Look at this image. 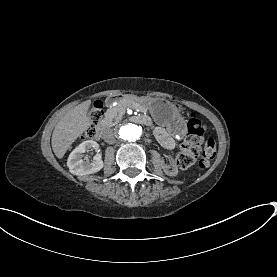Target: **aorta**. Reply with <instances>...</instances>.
I'll use <instances>...</instances> for the list:
<instances>
[{
  "instance_id": "obj_1",
  "label": "aorta",
  "mask_w": 277,
  "mask_h": 277,
  "mask_svg": "<svg viewBox=\"0 0 277 277\" xmlns=\"http://www.w3.org/2000/svg\"><path fill=\"white\" fill-rule=\"evenodd\" d=\"M142 135V126L129 121H123L116 128V136L121 141L134 142L139 140Z\"/></svg>"
}]
</instances>
